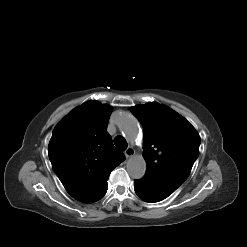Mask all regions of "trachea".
I'll return each instance as SVG.
<instances>
[{
  "mask_svg": "<svg viewBox=\"0 0 247 247\" xmlns=\"http://www.w3.org/2000/svg\"><path fill=\"white\" fill-rule=\"evenodd\" d=\"M114 144L119 150H125L127 148V141L122 136H117L114 139Z\"/></svg>",
  "mask_w": 247,
  "mask_h": 247,
  "instance_id": "trachea-1",
  "label": "trachea"
}]
</instances>
